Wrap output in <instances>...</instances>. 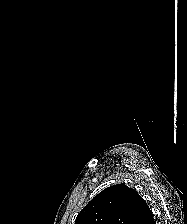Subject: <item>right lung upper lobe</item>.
Segmentation results:
<instances>
[{
    "label": "right lung upper lobe",
    "mask_w": 187,
    "mask_h": 224,
    "mask_svg": "<svg viewBox=\"0 0 187 224\" xmlns=\"http://www.w3.org/2000/svg\"><path fill=\"white\" fill-rule=\"evenodd\" d=\"M75 224H156L146 202L124 184L108 187L78 214Z\"/></svg>",
    "instance_id": "cb5924a9"
}]
</instances>
